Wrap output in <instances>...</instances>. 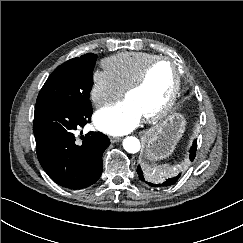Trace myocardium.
I'll list each match as a JSON object with an SVG mask.
<instances>
[{"label":"myocardium","mask_w":243,"mask_h":243,"mask_svg":"<svg viewBox=\"0 0 243 243\" xmlns=\"http://www.w3.org/2000/svg\"><path fill=\"white\" fill-rule=\"evenodd\" d=\"M161 61H169L174 65L175 82H174L173 88H172L169 96L163 102V104L159 108H157L155 111L145 115V119L148 121H153V120L160 118L162 115H164L169 110V108L174 103V101L179 93L180 87H181V72H180V66H179L178 62L169 56H157L154 59H152L151 61H149L145 65V67L143 68L141 73L131 83H129L126 86V88L124 89V95L127 96L133 90H136L139 87H141L145 83L152 67Z\"/></svg>","instance_id":"obj_1"}]
</instances>
